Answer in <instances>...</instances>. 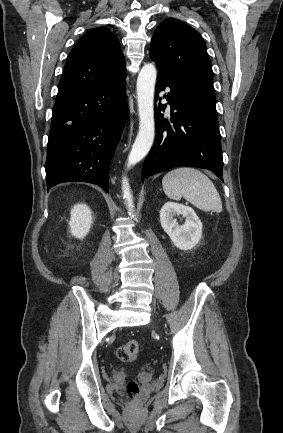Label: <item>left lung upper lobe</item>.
Instances as JSON below:
<instances>
[{"label": "left lung upper lobe", "mask_w": 283, "mask_h": 433, "mask_svg": "<svg viewBox=\"0 0 283 433\" xmlns=\"http://www.w3.org/2000/svg\"><path fill=\"white\" fill-rule=\"evenodd\" d=\"M150 58L162 70L189 83L192 107L201 114L217 117L211 61L205 42L195 29L178 19H165L152 37Z\"/></svg>", "instance_id": "left-lung-upper-lobe-1"}]
</instances>
